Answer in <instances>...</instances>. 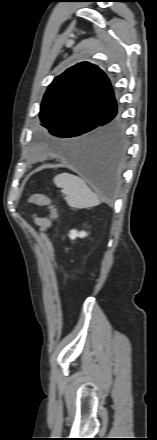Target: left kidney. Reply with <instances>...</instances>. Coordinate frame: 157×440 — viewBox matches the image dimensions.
Returning a JSON list of instances; mask_svg holds the SVG:
<instances>
[{
    "mask_svg": "<svg viewBox=\"0 0 157 440\" xmlns=\"http://www.w3.org/2000/svg\"><path fill=\"white\" fill-rule=\"evenodd\" d=\"M87 236V233L85 231L78 232L77 230H71L69 233V237L71 240H75L77 237L84 238Z\"/></svg>",
    "mask_w": 157,
    "mask_h": 440,
    "instance_id": "5707ae66",
    "label": "left kidney"
}]
</instances>
